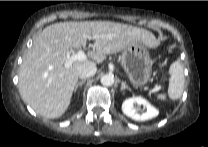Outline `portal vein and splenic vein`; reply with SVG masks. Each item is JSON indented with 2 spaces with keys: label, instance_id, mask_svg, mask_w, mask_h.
<instances>
[{
  "label": "portal vein and splenic vein",
  "instance_id": "1",
  "mask_svg": "<svg viewBox=\"0 0 208 147\" xmlns=\"http://www.w3.org/2000/svg\"><path fill=\"white\" fill-rule=\"evenodd\" d=\"M90 39H94V37H90ZM86 59H87V56L84 53V51L83 50H79L75 54H72V55L68 54L67 55L65 66L69 68V67H71L73 62H75V61H84Z\"/></svg>",
  "mask_w": 208,
  "mask_h": 147
}]
</instances>
